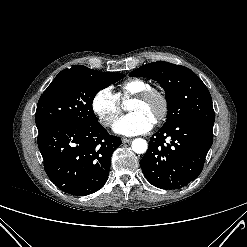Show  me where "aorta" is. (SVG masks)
<instances>
[{
    "label": "aorta",
    "instance_id": "aorta-1",
    "mask_svg": "<svg viewBox=\"0 0 247 247\" xmlns=\"http://www.w3.org/2000/svg\"><path fill=\"white\" fill-rule=\"evenodd\" d=\"M132 150L137 154H143L148 149V144L145 139L136 138L132 141L131 144Z\"/></svg>",
    "mask_w": 247,
    "mask_h": 247
}]
</instances>
